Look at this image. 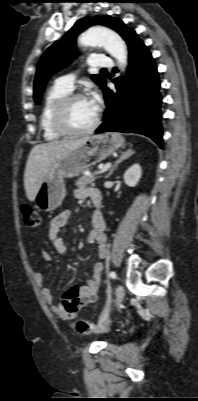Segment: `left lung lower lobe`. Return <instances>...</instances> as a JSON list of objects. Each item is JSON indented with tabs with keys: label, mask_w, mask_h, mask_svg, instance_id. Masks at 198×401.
I'll return each instance as SVG.
<instances>
[{
	"label": "left lung lower lobe",
	"mask_w": 198,
	"mask_h": 401,
	"mask_svg": "<svg viewBox=\"0 0 198 401\" xmlns=\"http://www.w3.org/2000/svg\"><path fill=\"white\" fill-rule=\"evenodd\" d=\"M129 50L127 75L113 80L116 91L102 88L106 101L103 123L95 133H139L162 148L160 81L151 53L132 30L125 39Z\"/></svg>",
	"instance_id": "0a47b994"
}]
</instances>
